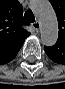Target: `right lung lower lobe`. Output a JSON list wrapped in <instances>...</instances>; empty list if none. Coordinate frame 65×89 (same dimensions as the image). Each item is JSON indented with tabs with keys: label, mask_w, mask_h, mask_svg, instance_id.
<instances>
[{
	"label": "right lung lower lobe",
	"mask_w": 65,
	"mask_h": 89,
	"mask_svg": "<svg viewBox=\"0 0 65 89\" xmlns=\"http://www.w3.org/2000/svg\"><path fill=\"white\" fill-rule=\"evenodd\" d=\"M18 51L14 52L13 54H11L7 57L0 56V64H6V63L10 62L11 60H13L15 58V56L17 55Z\"/></svg>",
	"instance_id": "obj_1"
}]
</instances>
